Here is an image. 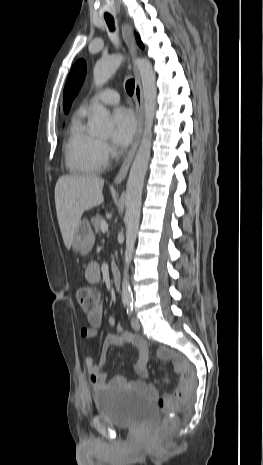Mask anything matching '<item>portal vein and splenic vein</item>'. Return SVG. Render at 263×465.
Wrapping results in <instances>:
<instances>
[{
	"mask_svg": "<svg viewBox=\"0 0 263 465\" xmlns=\"http://www.w3.org/2000/svg\"><path fill=\"white\" fill-rule=\"evenodd\" d=\"M108 230V224L106 222L101 223V231L105 233Z\"/></svg>",
	"mask_w": 263,
	"mask_h": 465,
	"instance_id": "obj_1",
	"label": "portal vein and splenic vein"
}]
</instances>
